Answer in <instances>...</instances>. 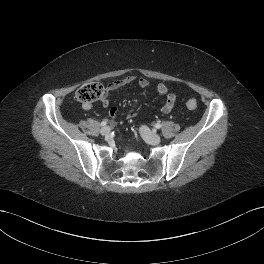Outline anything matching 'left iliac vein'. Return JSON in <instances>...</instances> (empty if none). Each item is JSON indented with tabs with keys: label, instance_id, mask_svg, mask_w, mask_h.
I'll use <instances>...</instances> for the list:
<instances>
[{
	"label": "left iliac vein",
	"instance_id": "obj_1",
	"mask_svg": "<svg viewBox=\"0 0 264 264\" xmlns=\"http://www.w3.org/2000/svg\"><path fill=\"white\" fill-rule=\"evenodd\" d=\"M140 133H141L142 137L144 138V140L149 144L157 145L161 142V137L158 134L152 132L146 126H142L140 128Z\"/></svg>",
	"mask_w": 264,
	"mask_h": 264
}]
</instances>
